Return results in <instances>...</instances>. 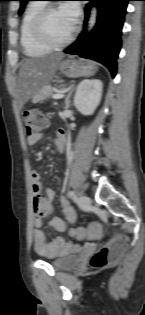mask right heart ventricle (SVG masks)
<instances>
[{
  "label": "right heart ventricle",
  "instance_id": "1",
  "mask_svg": "<svg viewBox=\"0 0 145 315\" xmlns=\"http://www.w3.org/2000/svg\"><path fill=\"white\" fill-rule=\"evenodd\" d=\"M44 3L35 1L27 6L20 25V43L27 56H42L50 49L38 43L32 33V23L38 12L44 7Z\"/></svg>",
  "mask_w": 145,
  "mask_h": 315
}]
</instances>
